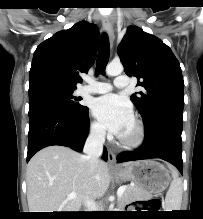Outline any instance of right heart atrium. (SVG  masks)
Returning a JSON list of instances; mask_svg holds the SVG:
<instances>
[{
    "label": "right heart atrium",
    "mask_w": 203,
    "mask_h": 219,
    "mask_svg": "<svg viewBox=\"0 0 203 219\" xmlns=\"http://www.w3.org/2000/svg\"><path fill=\"white\" fill-rule=\"evenodd\" d=\"M90 137L94 140H101L104 137V129L100 123L92 121L89 126Z\"/></svg>",
    "instance_id": "obj_1"
}]
</instances>
